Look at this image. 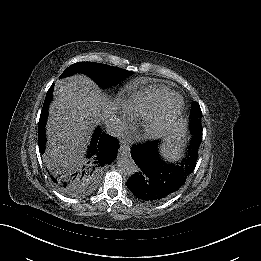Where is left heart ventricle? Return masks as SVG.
<instances>
[{
    "instance_id": "b2bd125f",
    "label": "left heart ventricle",
    "mask_w": 261,
    "mask_h": 261,
    "mask_svg": "<svg viewBox=\"0 0 261 261\" xmlns=\"http://www.w3.org/2000/svg\"><path fill=\"white\" fill-rule=\"evenodd\" d=\"M177 107H178V101L172 100L166 107L165 110L166 117L172 116L176 112Z\"/></svg>"
}]
</instances>
